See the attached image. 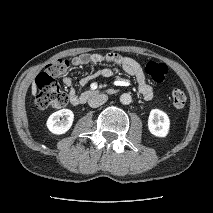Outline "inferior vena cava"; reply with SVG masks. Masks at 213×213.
I'll list each match as a JSON object with an SVG mask.
<instances>
[{
    "label": "inferior vena cava",
    "instance_id": "602c4592",
    "mask_svg": "<svg viewBox=\"0 0 213 213\" xmlns=\"http://www.w3.org/2000/svg\"><path fill=\"white\" fill-rule=\"evenodd\" d=\"M108 100V96L105 94H97L94 96H91L88 100V104L92 108H97L101 105H103Z\"/></svg>",
    "mask_w": 213,
    "mask_h": 213
}]
</instances>
